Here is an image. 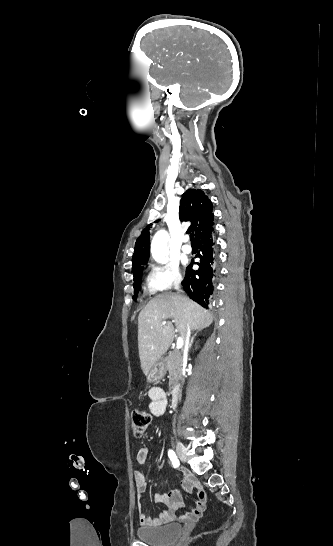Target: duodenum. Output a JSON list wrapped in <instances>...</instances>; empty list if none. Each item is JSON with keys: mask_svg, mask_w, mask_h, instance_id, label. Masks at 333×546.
<instances>
[{"mask_svg": "<svg viewBox=\"0 0 333 546\" xmlns=\"http://www.w3.org/2000/svg\"><path fill=\"white\" fill-rule=\"evenodd\" d=\"M180 399V392L178 389H174L171 395V402L173 406H177Z\"/></svg>", "mask_w": 333, "mask_h": 546, "instance_id": "1", "label": "duodenum"}]
</instances>
